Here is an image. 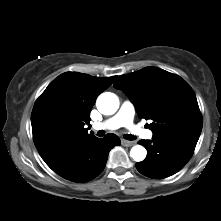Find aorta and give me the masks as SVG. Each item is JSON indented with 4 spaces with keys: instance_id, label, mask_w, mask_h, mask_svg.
I'll return each instance as SVG.
<instances>
[{
    "instance_id": "762f6f07",
    "label": "aorta",
    "mask_w": 221,
    "mask_h": 221,
    "mask_svg": "<svg viewBox=\"0 0 221 221\" xmlns=\"http://www.w3.org/2000/svg\"><path fill=\"white\" fill-rule=\"evenodd\" d=\"M97 109L104 115H112L119 108L118 97L111 92H105L99 95L96 101ZM147 151L141 145H135L131 148L130 156L136 161H143L146 157Z\"/></svg>"
}]
</instances>
